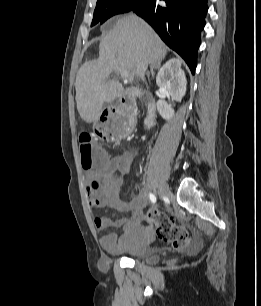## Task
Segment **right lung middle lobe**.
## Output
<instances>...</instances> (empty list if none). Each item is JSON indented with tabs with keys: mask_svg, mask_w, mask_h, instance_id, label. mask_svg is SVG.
I'll use <instances>...</instances> for the list:
<instances>
[{
	"mask_svg": "<svg viewBox=\"0 0 261 306\" xmlns=\"http://www.w3.org/2000/svg\"><path fill=\"white\" fill-rule=\"evenodd\" d=\"M143 0H98L94 11L92 26L104 23L113 15L132 10Z\"/></svg>",
	"mask_w": 261,
	"mask_h": 306,
	"instance_id": "right-lung-middle-lobe-1",
	"label": "right lung middle lobe"
}]
</instances>
